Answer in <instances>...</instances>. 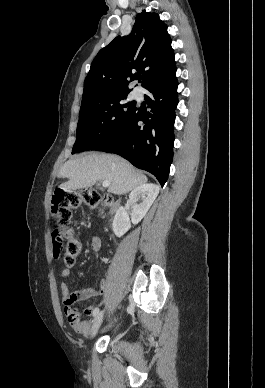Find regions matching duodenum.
Instances as JSON below:
<instances>
[{"instance_id":"duodenum-1","label":"duodenum","mask_w":265,"mask_h":388,"mask_svg":"<svg viewBox=\"0 0 265 388\" xmlns=\"http://www.w3.org/2000/svg\"><path fill=\"white\" fill-rule=\"evenodd\" d=\"M117 207H118V203H117V202H113V203L111 204V209H110V211H111V212L116 211Z\"/></svg>"}]
</instances>
